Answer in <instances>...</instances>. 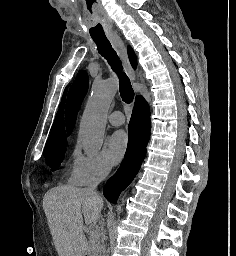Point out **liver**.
Instances as JSON below:
<instances>
[{
    "instance_id": "obj_1",
    "label": "liver",
    "mask_w": 236,
    "mask_h": 256,
    "mask_svg": "<svg viewBox=\"0 0 236 256\" xmlns=\"http://www.w3.org/2000/svg\"><path fill=\"white\" fill-rule=\"evenodd\" d=\"M103 202L94 200L84 188L57 186L46 192L43 210L58 256H85V224H96Z\"/></svg>"
}]
</instances>
